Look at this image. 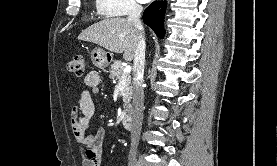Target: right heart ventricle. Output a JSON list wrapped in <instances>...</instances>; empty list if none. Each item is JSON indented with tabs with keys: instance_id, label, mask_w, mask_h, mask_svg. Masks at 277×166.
Segmentation results:
<instances>
[{
	"instance_id": "obj_1",
	"label": "right heart ventricle",
	"mask_w": 277,
	"mask_h": 166,
	"mask_svg": "<svg viewBox=\"0 0 277 166\" xmlns=\"http://www.w3.org/2000/svg\"><path fill=\"white\" fill-rule=\"evenodd\" d=\"M96 4H97V7H98V1L96 0ZM98 11L101 13V14H104V13H102L100 10H99V8H98ZM104 15H106V14H104Z\"/></svg>"
}]
</instances>
